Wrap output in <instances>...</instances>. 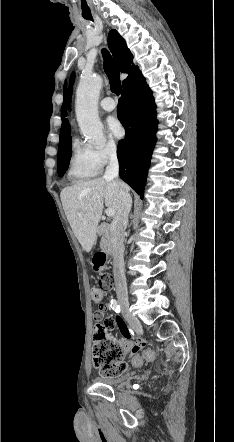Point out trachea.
<instances>
[{
    "mask_svg": "<svg viewBox=\"0 0 234 442\" xmlns=\"http://www.w3.org/2000/svg\"><path fill=\"white\" fill-rule=\"evenodd\" d=\"M103 58H104V70L108 76L110 82V88L113 93L116 95L121 94V82H120V73L119 70L107 50L103 49Z\"/></svg>",
    "mask_w": 234,
    "mask_h": 442,
    "instance_id": "obj_1",
    "label": "trachea"
}]
</instances>
